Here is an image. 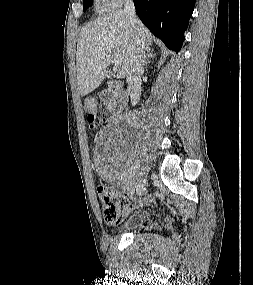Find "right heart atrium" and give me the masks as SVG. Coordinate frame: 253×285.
<instances>
[{
	"instance_id": "right-heart-atrium-1",
	"label": "right heart atrium",
	"mask_w": 253,
	"mask_h": 285,
	"mask_svg": "<svg viewBox=\"0 0 253 285\" xmlns=\"http://www.w3.org/2000/svg\"><path fill=\"white\" fill-rule=\"evenodd\" d=\"M102 5L107 9H116L120 7L125 0H100Z\"/></svg>"
}]
</instances>
